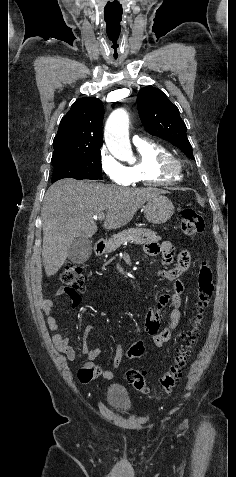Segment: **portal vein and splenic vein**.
Instances as JSON below:
<instances>
[{
	"label": "portal vein and splenic vein",
	"mask_w": 236,
	"mask_h": 477,
	"mask_svg": "<svg viewBox=\"0 0 236 477\" xmlns=\"http://www.w3.org/2000/svg\"><path fill=\"white\" fill-rule=\"evenodd\" d=\"M93 218H94L95 220L98 219V220H101V221H102V220L105 219V214H104V213H101V214H99V215H94Z\"/></svg>",
	"instance_id": "obj_1"
}]
</instances>
